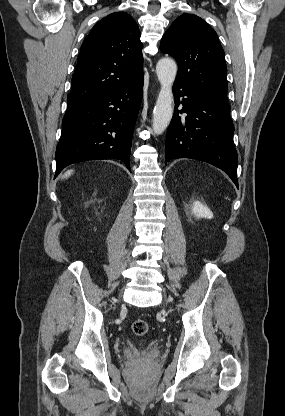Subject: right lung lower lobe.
Masks as SVG:
<instances>
[{
  "mask_svg": "<svg viewBox=\"0 0 285 416\" xmlns=\"http://www.w3.org/2000/svg\"><path fill=\"white\" fill-rule=\"evenodd\" d=\"M142 88L143 76L105 97L67 108L56 148L55 177L70 164L96 159L121 160L131 171Z\"/></svg>",
  "mask_w": 285,
  "mask_h": 416,
  "instance_id": "1",
  "label": "right lung lower lobe"
}]
</instances>
